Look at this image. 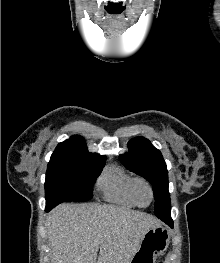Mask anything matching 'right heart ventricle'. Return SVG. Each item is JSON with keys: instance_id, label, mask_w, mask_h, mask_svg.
Listing matches in <instances>:
<instances>
[{"instance_id": "e07e8e85", "label": "right heart ventricle", "mask_w": 220, "mask_h": 263, "mask_svg": "<svg viewBox=\"0 0 220 263\" xmlns=\"http://www.w3.org/2000/svg\"><path fill=\"white\" fill-rule=\"evenodd\" d=\"M135 179L123 168L113 166L103 173L99 179L98 187L108 201L131 208L137 206L133 199Z\"/></svg>"}]
</instances>
